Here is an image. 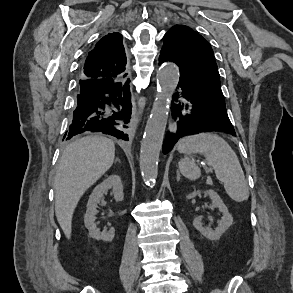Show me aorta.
<instances>
[{
	"mask_svg": "<svg viewBox=\"0 0 293 293\" xmlns=\"http://www.w3.org/2000/svg\"><path fill=\"white\" fill-rule=\"evenodd\" d=\"M179 82V71L173 63H166L157 73L158 94L147 121L140 149V171L147 184L158 175L159 154L167 125L169 105Z\"/></svg>",
	"mask_w": 293,
	"mask_h": 293,
	"instance_id": "1",
	"label": "aorta"
}]
</instances>
